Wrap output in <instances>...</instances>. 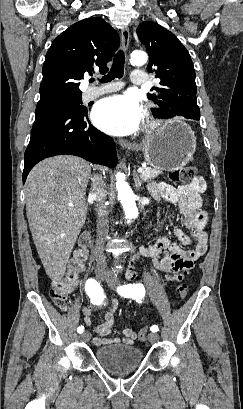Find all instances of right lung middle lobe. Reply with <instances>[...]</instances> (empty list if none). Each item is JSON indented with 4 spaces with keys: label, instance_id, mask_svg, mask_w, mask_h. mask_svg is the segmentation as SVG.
Listing matches in <instances>:
<instances>
[{
    "label": "right lung middle lobe",
    "instance_id": "obj_1",
    "mask_svg": "<svg viewBox=\"0 0 243 409\" xmlns=\"http://www.w3.org/2000/svg\"><path fill=\"white\" fill-rule=\"evenodd\" d=\"M81 104H82V98H81V95H79L75 97L55 98V99L41 101V102H38L37 107L52 106V107L66 108V109H72V110H87L86 107Z\"/></svg>",
    "mask_w": 243,
    "mask_h": 409
}]
</instances>
